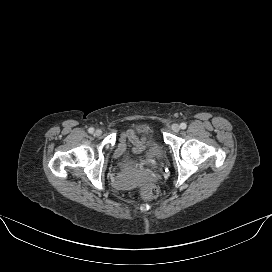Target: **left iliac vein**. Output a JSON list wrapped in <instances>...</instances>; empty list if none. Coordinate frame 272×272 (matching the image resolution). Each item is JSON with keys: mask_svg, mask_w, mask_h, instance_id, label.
<instances>
[{"mask_svg": "<svg viewBox=\"0 0 272 272\" xmlns=\"http://www.w3.org/2000/svg\"><path fill=\"white\" fill-rule=\"evenodd\" d=\"M171 130L173 132H178L180 130V126L178 124L174 123L171 125Z\"/></svg>", "mask_w": 272, "mask_h": 272, "instance_id": "1", "label": "left iliac vein"}]
</instances>
